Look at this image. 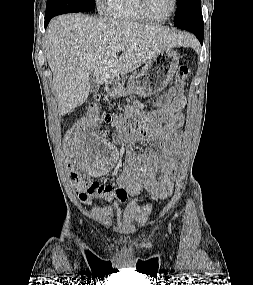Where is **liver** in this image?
Listing matches in <instances>:
<instances>
[{"mask_svg":"<svg viewBox=\"0 0 253 285\" xmlns=\"http://www.w3.org/2000/svg\"><path fill=\"white\" fill-rule=\"evenodd\" d=\"M190 42L189 36L157 25L81 14L54 18L47 29L46 52L60 115L87 100L91 73L101 85L135 70L162 49Z\"/></svg>","mask_w":253,"mask_h":285,"instance_id":"1","label":"liver"}]
</instances>
